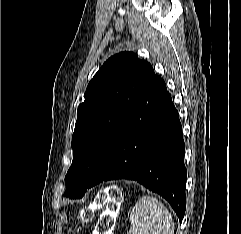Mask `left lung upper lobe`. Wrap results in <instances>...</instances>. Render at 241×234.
<instances>
[{
	"instance_id": "5c2ea615",
	"label": "left lung upper lobe",
	"mask_w": 241,
	"mask_h": 234,
	"mask_svg": "<svg viewBox=\"0 0 241 234\" xmlns=\"http://www.w3.org/2000/svg\"><path fill=\"white\" fill-rule=\"evenodd\" d=\"M155 76L132 52L109 58L91 79L79 105L72 136L73 161L64 196L81 198L129 112Z\"/></svg>"
}]
</instances>
